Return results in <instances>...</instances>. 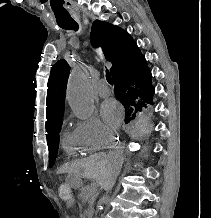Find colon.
Masks as SVG:
<instances>
[{
  "label": "colon",
  "mask_w": 211,
  "mask_h": 218,
  "mask_svg": "<svg viewBox=\"0 0 211 218\" xmlns=\"http://www.w3.org/2000/svg\"><path fill=\"white\" fill-rule=\"evenodd\" d=\"M59 197L63 201H69L72 199L71 189L67 185H61L58 189Z\"/></svg>",
  "instance_id": "colon-1"
}]
</instances>
